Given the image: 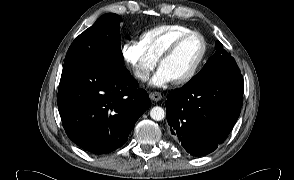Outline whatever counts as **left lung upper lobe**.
Returning <instances> with one entry per match:
<instances>
[{
	"mask_svg": "<svg viewBox=\"0 0 294 180\" xmlns=\"http://www.w3.org/2000/svg\"><path fill=\"white\" fill-rule=\"evenodd\" d=\"M216 52L209 58L202 70L188 83H203L221 75H240L239 67L234 58L220 42L215 45Z\"/></svg>",
	"mask_w": 294,
	"mask_h": 180,
	"instance_id": "1",
	"label": "left lung upper lobe"
}]
</instances>
